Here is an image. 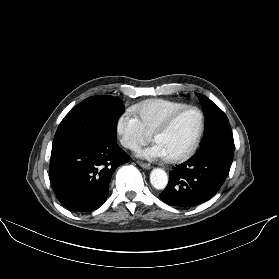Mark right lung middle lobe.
I'll use <instances>...</instances> for the list:
<instances>
[{
	"instance_id": "1",
	"label": "right lung middle lobe",
	"mask_w": 279,
	"mask_h": 279,
	"mask_svg": "<svg viewBox=\"0 0 279 279\" xmlns=\"http://www.w3.org/2000/svg\"><path fill=\"white\" fill-rule=\"evenodd\" d=\"M123 109L117 98L98 95L85 99L62 120L52 149L75 147L103 137H116V122Z\"/></svg>"
}]
</instances>
